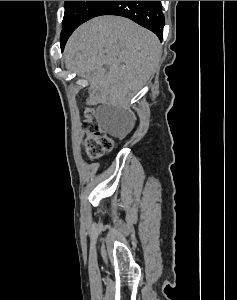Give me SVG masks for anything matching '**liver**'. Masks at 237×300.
<instances>
[{
    "instance_id": "6515ba94",
    "label": "liver",
    "mask_w": 237,
    "mask_h": 300,
    "mask_svg": "<svg viewBox=\"0 0 237 300\" xmlns=\"http://www.w3.org/2000/svg\"><path fill=\"white\" fill-rule=\"evenodd\" d=\"M161 43L151 31L124 17H95L72 33L64 51L67 69L93 73L101 99L129 103L154 75Z\"/></svg>"
}]
</instances>
